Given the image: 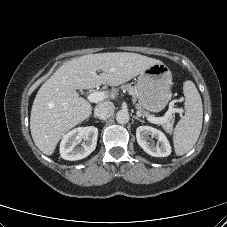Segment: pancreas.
Wrapping results in <instances>:
<instances>
[{
	"instance_id": "obj_1",
	"label": "pancreas",
	"mask_w": 227,
	"mask_h": 227,
	"mask_svg": "<svg viewBox=\"0 0 227 227\" xmlns=\"http://www.w3.org/2000/svg\"><path fill=\"white\" fill-rule=\"evenodd\" d=\"M120 89L123 91H127L130 95H132L134 97L137 95V91H136L135 87L129 83L122 85L120 87ZM115 92H117V90H115ZM137 109L139 110V112H141V114L143 116H150V114L148 112L144 111L140 105H137ZM173 125H174L173 118H169L166 122L162 123L163 129L169 134L172 133V131H173Z\"/></svg>"
}]
</instances>
